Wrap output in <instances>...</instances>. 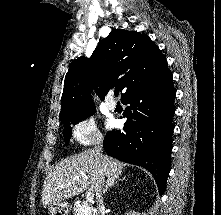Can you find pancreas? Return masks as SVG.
Instances as JSON below:
<instances>
[{
    "label": "pancreas",
    "instance_id": "pancreas-1",
    "mask_svg": "<svg viewBox=\"0 0 221 215\" xmlns=\"http://www.w3.org/2000/svg\"><path fill=\"white\" fill-rule=\"evenodd\" d=\"M74 215H92L91 208L87 202L74 204Z\"/></svg>",
    "mask_w": 221,
    "mask_h": 215
}]
</instances>
